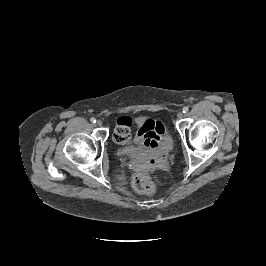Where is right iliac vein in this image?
<instances>
[{
    "instance_id": "obj_1",
    "label": "right iliac vein",
    "mask_w": 266,
    "mask_h": 266,
    "mask_svg": "<svg viewBox=\"0 0 266 266\" xmlns=\"http://www.w3.org/2000/svg\"><path fill=\"white\" fill-rule=\"evenodd\" d=\"M96 125L100 127V126H102V125H103V123H102V121H101V120H97V122H96Z\"/></svg>"
}]
</instances>
